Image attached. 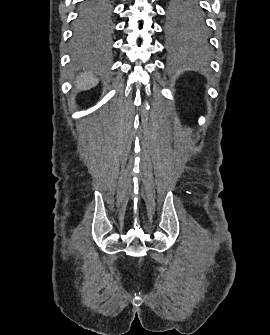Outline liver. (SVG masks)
Instances as JSON below:
<instances>
[{
	"mask_svg": "<svg viewBox=\"0 0 270 335\" xmlns=\"http://www.w3.org/2000/svg\"><path fill=\"white\" fill-rule=\"evenodd\" d=\"M97 78H93L92 74H83L81 78L77 80V86L80 90H90L93 86H97Z\"/></svg>",
	"mask_w": 270,
	"mask_h": 335,
	"instance_id": "liver-1",
	"label": "liver"
}]
</instances>
